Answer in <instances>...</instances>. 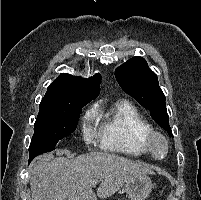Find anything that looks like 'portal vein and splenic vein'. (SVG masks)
<instances>
[{"label": "portal vein and splenic vein", "instance_id": "portal-vein-and-splenic-vein-1", "mask_svg": "<svg viewBox=\"0 0 201 200\" xmlns=\"http://www.w3.org/2000/svg\"><path fill=\"white\" fill-rule=\"evenodd\" d=\"M97 184V182H93L92 185L95 186Z\"/></svg>", "mask_w": 201, "mask_h": 200}]
</instances>
